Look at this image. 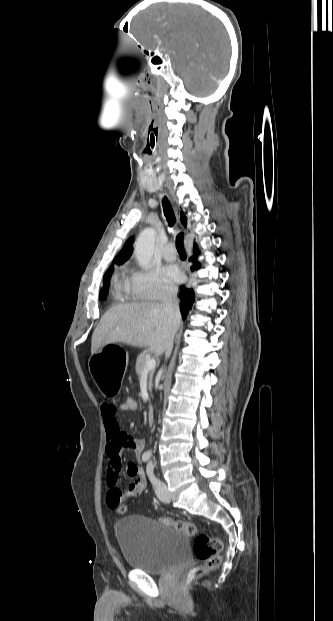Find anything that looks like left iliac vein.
<instances>
[{"label":"left iliac vein","mask_w":333,"mask_h":621,"mask_svg":"<svg viewBox=\"0 0 333 621\" xmlns=\"http://www.w3.org/2000/svg\"><path fill=\"white\" fill-rule=\"evenodd\" d=\"M156 494L162 502L164 503L170 502V494L164 482H160V485L156 487Z\"/></svg>","instance_id":"obj_1"}]
</instances>
